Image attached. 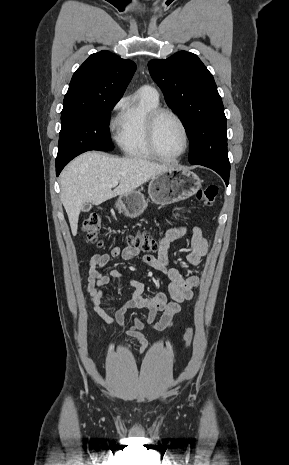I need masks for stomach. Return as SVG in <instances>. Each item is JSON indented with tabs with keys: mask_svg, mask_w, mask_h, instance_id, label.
I'll return each mask as SVG.
<instances>
[{
	"mask_svg": "<svg viewBox=\"0 0 289 465\" xmlns=\"http://www.w3.org/2000/svg\"><path fill=\"white\" fill-rule=\"evenodd\" d=\"M201 184V179L195 173L173 166L151 178L148 194L154 204L168 205L193 196ZM146 206L144 195L137 190L120 196L116 202L118 212L129 218L140 216Z\"/></svg>",
	"mask_w": 289,
	"mask_h": 465,
	"instance_id": "0dacf381",
	"label": "stomach"
}]
</instances>
